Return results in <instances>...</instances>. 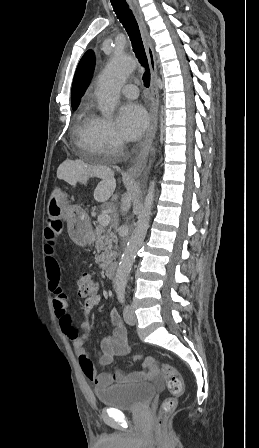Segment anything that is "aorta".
Masks as SVG:
<instances>
[{
    "instance_id": "aorta-1",
    "label": "aorta",
    "mask_w": 259,
    "mask_h": 448,
    "mask_svg": "<svg viewBox=\"0 0 259 448\" xmlns=\"http://www.w3.org/2000/svg\"><path fill=\"white\" fill-rule=\"evenodd\" d=\"M135 67L136 61L132 57L125 54L114 56L106 65L98 79V86L95 92L98 107L105 117H111L113 115L119 100L120 89L126 79L134 71ZM154 192L155 181H151L145 197L142 212L129 242L124 249L117 268L115 286L119 293H122L125 290L128 276L137 251L142 246L145 239L154 201Z\"/></svg>"
}]
</instances>
